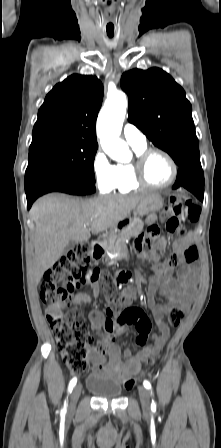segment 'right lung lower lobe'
Instances as JSON below:
<instances>
[{
	"mask_svg": "<svg viewBox=\"0 0 221 448\" xmlns=\"http://www.w3.org/2000/svg\"><path fill=\"white\" fill-rule=\"evenodd\" d=\"M95 190L94 183L76 182L49 173H36L25 176L28 209L39 196L49 192L87 195L94 193Z\"/></svg>",
	"mask_w": 221,
	"mask_h": 448,
	"instance_id": "obj_1",
	"label": "right lung lower lobe"
}]
</instances>
